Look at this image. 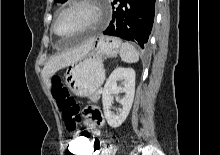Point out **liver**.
Instances as JSON below:
<instances>
[{
    "mask_svg": "<svg viewBox=\"0 0 220 155\" xmlns=\"http://www.w3.org/2000/svg\"><path fill=\"white\" fill-rule=\"evenodd\" d=\"M92 44L68 49L53 56L44 66L42 71L43 80L48 88L51 87V77L60 69L78 62L88 54Z\"/></svg>",
    "mask_w": 220,
    "mask_h": 155,
    "instance_id": "liver-1",
    "label": "liver"
}]
</instances>
